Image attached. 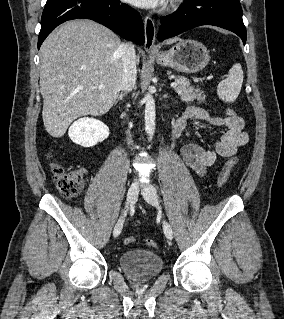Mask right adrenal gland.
<instances>
[{"label":"right adrenal gland","mask_w":284,"mask_h":319,"mask_svg":"<svg viewBox=\"0 0 284 319\" xmlns=\"http://www.w3.org/2000/svg\"><path fill=\"white\" fill-rule=\"evenodd\" d=\"M126 95V92H121V94L119 95V97L116 99V101H115V105L117 104V102L119 101V100H123V97Z\"/></svg>","instance_id":"2a0ac1e0"}]
</instances>
